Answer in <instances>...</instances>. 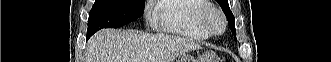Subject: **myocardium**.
<instances>
[{"instance_id": "f54148a6", "label": "myocardium", "mask_w": 331, "mask_h": 62, "mask_svg": "<svg viewBox=\"0 0 331 62\" xmlns=\"http://www.w3.org/2000/svg\"><path fill=\"white\" fill-rule=\"evenodd\" d=\"M215 18L218 20L219 26L215 24ZM200 22L203 27L212 35H220L226 29V18L221 9L216 6L209 5L200 14Z\"/></svg>"}]
</instances>
